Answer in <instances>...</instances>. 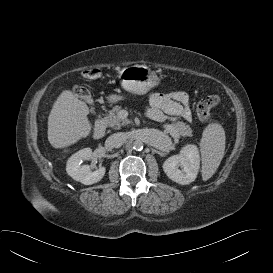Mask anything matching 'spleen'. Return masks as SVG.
<instances>
[{"label": "spleen", "instance_id": "obj_1", "mask_svg": "<svg viewBox=\"0 0 273 273\" xmlns=\"http://www.w3.org/2000/svg\"><path fill=\"white\" fill-rule=\"evenodd\" d=\"M225 131L219 123H210L203 131L200 141L202 178L212 177L220 165L225 152Z\"/></svg>", "mask_w": 273, "mask_h": 273}]
</instances>
